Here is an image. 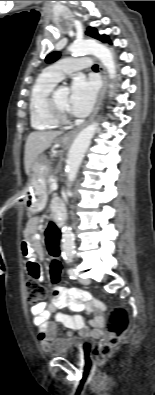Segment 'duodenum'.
Returning <instances> with one entry per match:
<instances>
[{
	"mask_svg": "<svg viewBox=\"0 0 155 395\" xmlns=\"http://www.w3.org/2000/svg\"><path fill=\"white\" fill-rule=\"evenodd\" d=\"M66 220V213L63 208H58L54 212V222L57 223L58 226L62 225Z\"/></svg>",
	"mask_w": 155,
	"mask_h": 395,
	"instance_id": "410a0bca",
	"label": "duodenum"
}]
</instances>
